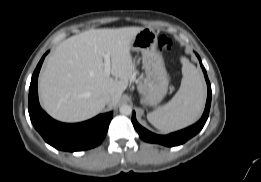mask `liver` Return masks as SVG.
Listing matches in <instances>:
<instances>
[{
  "label": "liver",
  "instance_id": "6515ba94",
  "mask_svg": "<svg viewBox=\"0 0 261 182\" xmlns=\"http://www.w3.org/2000/svg\"><path fill=\"white\" fill-rule=\"evenodd\" d=\"M143 27L90 29L61 42L39 77L43 108L53 118L80 122L100 113L111 97L115 106L133 77L131 44ZM109 53L112 78L104 73Z\"/></svg>",
  "mask_w": 261,
  "mask_h": 182
}]
</instances>
